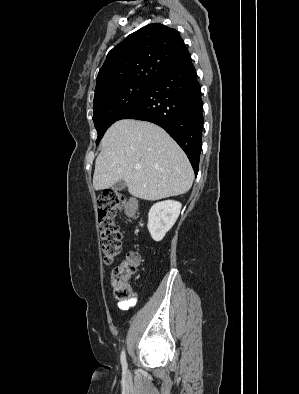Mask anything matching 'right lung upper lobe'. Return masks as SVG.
Wrapping results in <instances>:
<instances>
[{"label": "right lung upper lobe", "mask_w": 299, "mask_h": 394, "mask_svg": "<svg viewBox=\"0 0 299 394\" xmlns=\"http://www.w3.org/2000/svg\"><path fill=\"white\" fill-rule=\"evenodd\" d=\"M188 55L175 29L160 23L147 25L108 53L97 76L95 95L127 83H152Z\"/></svg>", "instance_id": "obj_1"}]
</instances>
